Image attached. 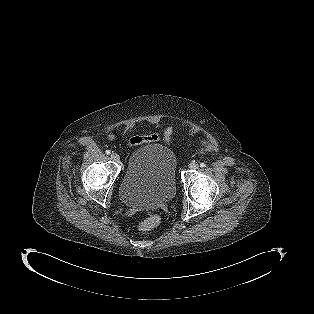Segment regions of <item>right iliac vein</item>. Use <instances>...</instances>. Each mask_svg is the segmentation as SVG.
Returning a JSON list of instances; mask_svg holds the SVG:
<instances>
[{
    "mask_svg": "<svg viewBox=\"0 0 314 314\" xmlns=\"http://www.w3.org/2000/svg\"><path fill=\"white\" fill-rule=\"evenodd\" d=\"M111 159L115 162H118L120 160V156L116 153L111 154Z\"/></svg>",
    "mask_w": 314,
    "mask_h": 314,
    "instance_id": "right-iliac-vein-1",
    "label": "right iliac vein"
}]
</instances>
